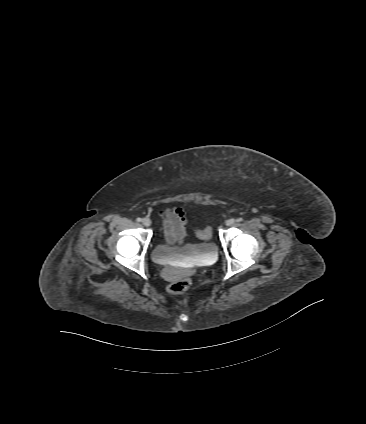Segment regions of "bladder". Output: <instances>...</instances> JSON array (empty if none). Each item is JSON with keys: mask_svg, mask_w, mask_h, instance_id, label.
Instances as JSON below:
<instances>
[{"mask_svg": "<svg viewBox=\"0 0 366 424\" xmlns=\"http://www.w3.org/2000/svg\"><path fill=\"white\" fill-rule=\"evenodd\" d=\"M217 246L212 242L189 243L184 246H169L157 243L151 252L152 259L158 264H169L179 259H193L198 262L217 256Z\"/></svg>", "mask_w": 366, "mask_h": 424, "instance_id": "bladder-1", "label": "bladder"}]
</instances>
